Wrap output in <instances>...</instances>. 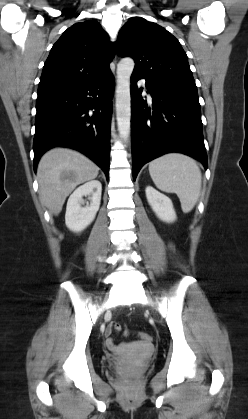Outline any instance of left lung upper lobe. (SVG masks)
Instances as JSON below:
<instances>
[{
    "instance_id": "5c2ea615",
    "label": "left lung upper lobe",
    "mask_w": 248,
    "mask_h": 419,
    "mask_svg": "<svg viewBox=\"0 0 248 419\" xmlns=\"http://www.w3.org/2000/svg\"><path fill=\"white\" fill-rule=\"evenodd\" d=\"M117 54L135 61L133 73L168 89L197 92L185 51L166 29L131 18L120 30Z\"/></svg>"
}]
</instances>
